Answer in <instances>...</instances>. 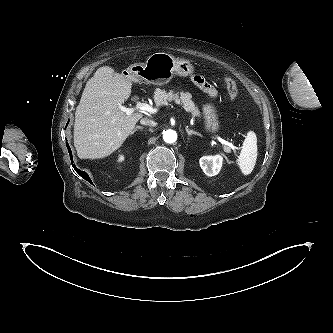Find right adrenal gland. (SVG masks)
Instances as JSON below:
<instances>
[{
	"mask_svg": "<svg viewBox=\"0 0 333 333\" xmlns=\"http://www.w3.org/2000/svg\"><path fill=\"white\" fill-rule=\"evenodd\" d=\"M138 129L143 130V127H142V126H136V127L132 130V132L130 133V135H133V134L135 133V131L138 130Z\"/></svg>",
	"mask_w": 333,
	"mask_h": 333,
	"instance_id": "right-adrenal-gland-1",
	"label": "right adrenal gland"
}]
</instances>
